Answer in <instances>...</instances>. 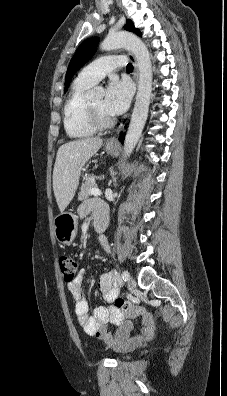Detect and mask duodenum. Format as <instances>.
Returning <instances> with one entry per match:
<instances>
[{"label": "duodenum", "instance_id": "duodenum-1", "mask_svg": "<svg viewBox=\"0 0 227 396\" xmlns=\"http://www.w3.org/2000/svg\"><path fill=\"white\" fill-rule=\"evenodd\" d=\"M107 223H108L107 214H102V215L98 216L94 221L95 230L98 233L103 232L107 227Z\"/></svg>", "mask_w": 227, "mask_h": 396}]
</instances>
